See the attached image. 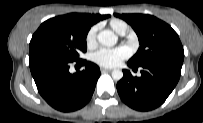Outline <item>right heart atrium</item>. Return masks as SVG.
Returning a JSON list of instances; mask_svg holds the SVG:
<instances>
[{
	"label": "right heart atrium",
	"mask_w": 203,
	"mask_h": 123,
	"mask_svg": "<svg viewBox=\"0 0 203 123\" xmlns=\"http://www.w3.org/2000/svg\"><path fill=\"white\" fill-rule=\"evenodd\" d=\"M96 36H97V27H92L86 36V42L89 46H92L96 42Z\"/></svg>",
	"instance_id": "1"
}]
</instances>
